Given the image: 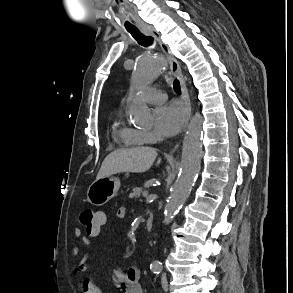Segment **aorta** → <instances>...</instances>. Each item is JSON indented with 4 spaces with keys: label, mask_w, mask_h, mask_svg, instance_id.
<instances>
[{
    "label": "aorta",
    "mask_w": 293,
    "mask_h": 293,
    "mask_svg": "<svg viewBox=\"0 0 293 293\" xmlns=\"http://www.w3.org/2000/svg\"><path fill=\"white\" fill-rule=\"evenodd\" d=\"M166 69L163 57L158 53H150L139 57L132 73L131 84L136 91L142 90L149 83L161 76ZM128 113L138 125L147 126L151 123L152 114L149 108L137 98L129 101ZM202 123L201 115L196 114L190 121L183 141L180 171L171 188L167 204L164 209V224L168 225L182 204L188 198L200 168L202 155ZM161 262L152 263L154 270L161 269Z\"/></svg>",
    "instance_id": "obj_1"
}]
</instances>
